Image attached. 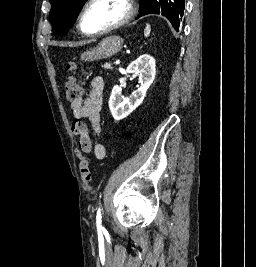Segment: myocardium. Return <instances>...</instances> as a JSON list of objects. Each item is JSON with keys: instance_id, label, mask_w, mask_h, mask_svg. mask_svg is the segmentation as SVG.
Instances as JSON below:
<instances>
[{"instance_id": "f54148a6", "label": "myocardium", "mask_w": 256, "mask_h": 267, "mask_svg": "<svg viewBox=\"0 0 256 267\" xmlns=\"http://www.w3.org/2000/svg\"><path fill=\"white\" fill-rule=\"evenodd\" d=\"M99 1H103V0H89L78 11V14H77L78 28L81 31V33L86 35V36L97 37V36H102V35L108 34L109 32L123 26L130 19V17L133 14L132 6L126 0H112V1L116 2L117 4H119L120 6H122L123 9L125 10V14H124L123 18L105 30L98 31V32H89L83 26V14L87 10L88 7H90L95 2H99Z\"/></svg>"}]
</instances>
